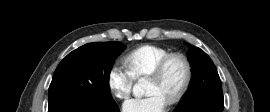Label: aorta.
<instances>
[{"label": "aorta", "mask_w": 270, "mask_h": 112, "mask_svg": "<svg viewBox=\"0 0 270 112\" xmlns=\"http://www.w3.org/2000/svg\"><path fill=\"white\" fill-rule=\"evenodd\" d=\"M146 85V80L144 78L139 79V81L133 87V93L136 97H141L144 95V87Z\"/></svg>", "instance_id": "aorta-1"}]
</instances>
